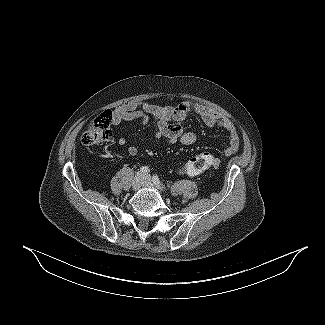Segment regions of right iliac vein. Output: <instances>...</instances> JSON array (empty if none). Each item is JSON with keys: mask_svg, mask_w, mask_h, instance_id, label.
<instances>
[{"mask_svg": "<svg viewBox=\"0 0 325 325\" xmlns=\"http://www.w3.org/2000/svg\"><path fill=\"white\" fill-rule=\"evenodd\" d=\"M143 182H144V175L141 172H138L131 183L132 189L138 190L143 184Z\"/></svg>", "mask_w": 325, "mask_h": 325, "instance_id": "1", "label": "right iliac vein"}]
</instances>
